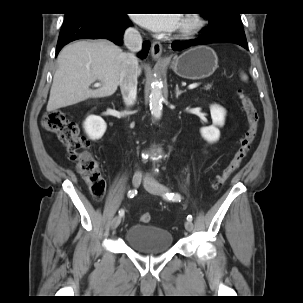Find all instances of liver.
I'll list each match as a JSON object with an SVG mask.
<instances>
[{
    "instance_id": "obj_1",
    "label": "liver",
    "mask_w": 303,
    "mask_h": 303,
    "mask_svg": "<svg viewBox=\"0 0 303 303\" xmlns=\"http://www.w3.org/2000/svg\"><path fill=\"white\" fill-rule=\"evenodd\" d=\"M124 53L108 40L77 41L58 55L47 111L77 104L88 98L108 97L119 85ZM141 69H138V75ZM102 86L90 89L96 80Z\"/></svg>"
}]
</instances>
